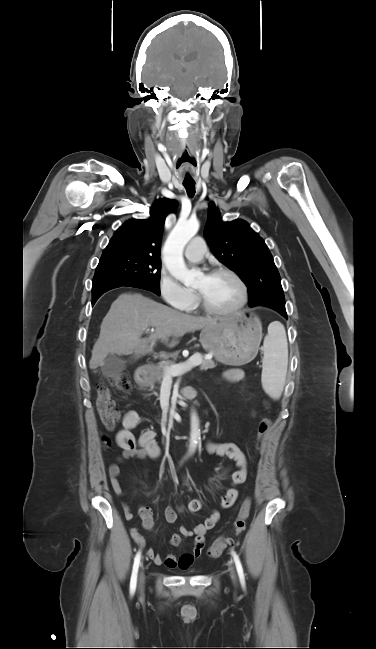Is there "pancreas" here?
Returning <instances> with one entry per match:
<instances>
[{
    "label": "pancreas",
    "instance_id": "obj_1",
    "mask_svg": "<svg viewBox=\"0 0 376 649\" xmlns=\"http://www.w3.org/2000/svg\"><path fill=\"white\" fill-rule=\"evenodd\" d=\"M195 355H198V354H195ZM173 365H177V364L174 361H164V362H160L156 366H152L151 367V372H150V377H149V382L151 384L161 383L163 381V379H164L166 368H168L170 366H173ZM214 367H215L214 361L208 360V359L202 360V362L200 364V370L212 369Z\"/></svg>",
    "mask_w": 376,
    "mask_h": 649
}]
</instances>
